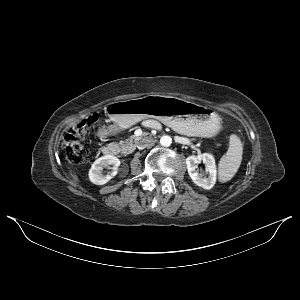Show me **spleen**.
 <instances>
[{
	"label": "spleen",
	"mask_w": 300,
	"mask_h": 300,
	"mask_svg": "<svg viewBox=\"0 0 300 300\" xmlns=\"http://www.w3.org/2000/svg\"><path fill=\"white\" fill-rule=\"evenodd\" d=\"M243 154V146L237 135H231L229 148L218 165V179L221 183L231 180L238 171Z\"/></svg>",
	"instance_id": "1"
}]
</instances>
